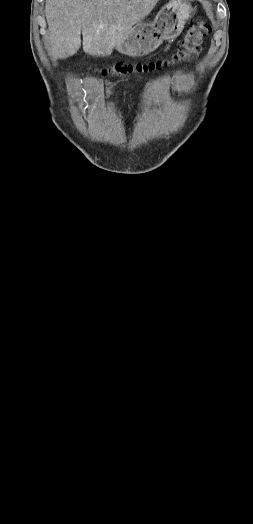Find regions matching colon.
Wrapping results in <instances>:
<instances>
[{"label":"colon","instance_id":"obj_1","mask_svg":"<svg viewBox=\"0 0 253 524\" xmlns=\"http://www.w3.org/2000/svg\"><path fill=\"white\" fill-rule=\"evenodd\" d=\"M211 32L212 28L209 23L202 19L194 20L186 30L177 52L169 61L157 60L136 64L120 62L108 68H103L102 73L128 78L135 74L149 73L162 69L170 63L189 61L197 55L203 41L210 36Z\"/></svg>","mask_w":253,"mask_h":524}]
</instances>
